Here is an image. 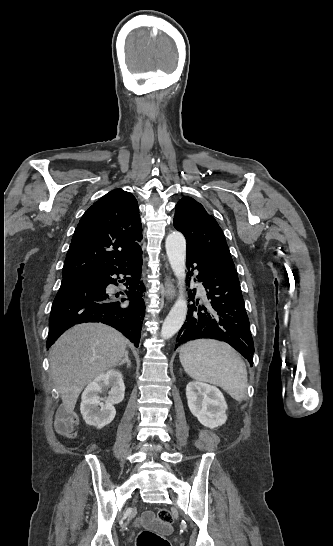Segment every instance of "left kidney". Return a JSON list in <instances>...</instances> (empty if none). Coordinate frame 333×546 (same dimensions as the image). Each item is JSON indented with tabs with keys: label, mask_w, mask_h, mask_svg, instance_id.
I'll return each mask as SVG.
<instances>
[{
	"label": "left kidney",
	"mask_w": 333,
	"mask_h": 546,
	"mask_svg": "<svg viewBox=\"0 0 333 546\" xmlns=\"http://www.w3.org/2000/svg\"><path fill=\"white\" fill-rule=\"evenodd\" d=\"M186 396L191 413L202 425L216 428L226 422L227 404L223 394L215 386L189 382Z\"/></svg>",
	"instance_id": "5707ae66"
}]
</instances>
